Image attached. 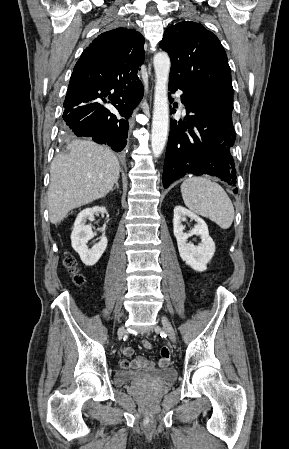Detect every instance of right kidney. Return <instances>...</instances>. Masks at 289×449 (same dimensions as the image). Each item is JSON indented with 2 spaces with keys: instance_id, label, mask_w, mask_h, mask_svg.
I'll use <instances>...</instances> for the list:
<instances>
[{
  "instance_id": "right-kidney-1",
  "label": "right kidney",
  "mask_w": 289,
  "mask_h": 449,
  "mask_svg": "<svg viewBox=\"0 0 289 449\" xmlns=\"http://www.w3.org/2000/svg\"><path fill=\"white\" fill-rule=\"evenodd\" d=\"M97 213H107L106 208L95 206L82 210L75 222L71 233V243L73 249L79 254L82 262L87 266H93L101 258L107 247V238L105 235L101 240L89 248L88 241L94 237L90 225H86L87 220L94 218Z\"/></svg>"
}]
</instances>
